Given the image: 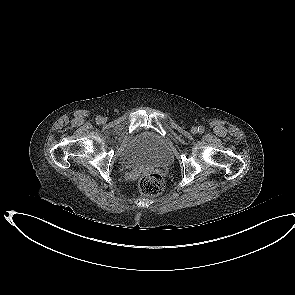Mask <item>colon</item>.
Here are the masks:
<instances>
[{
  "mask_svg": "<svg viewBox=\"0 0 295 295\" xmlns=\"http://www.w3.org/2000/svg\"><path fill=\"white\" fill-rule=\"evenodd\" d=\"M138 187L144 195L157 196L164 190V181L159 174L146 173L140 177Z\"/></svg>",
  "mask_w": 295,
  "mask_h": 295,
  "instance_id": "obj_1",
  "label": "colon"
}]
</instances>
